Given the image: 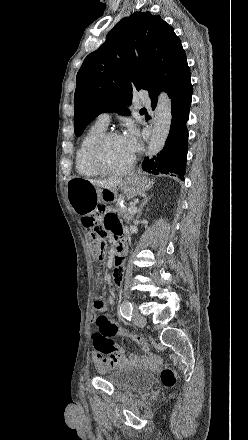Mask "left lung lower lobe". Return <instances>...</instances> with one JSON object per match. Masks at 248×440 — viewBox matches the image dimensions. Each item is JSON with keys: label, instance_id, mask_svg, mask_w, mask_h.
Instances as JSON below:
<instances>
[{"label": "left lung lower lobe", "instance_id": "0a47b994", "mask_svg": "<svg viewBox=\"0 0 248 440\" xmlns=\"http://www.w3.org/2000/svg\"><path fill=\"white\" fill-rule=\"evenodd\" d=\"M193 86L191 80L175 85L168 95L171 98L172 120L170 132L164 148L154 159L144 160L142 169L151 174L175 173L184 180L187 159L188 130L186 122L189 119ZM157 100L151 102L156 107Z\"/></svg>", "mask_w": 248, "mask_h": 440}]
</instances>
